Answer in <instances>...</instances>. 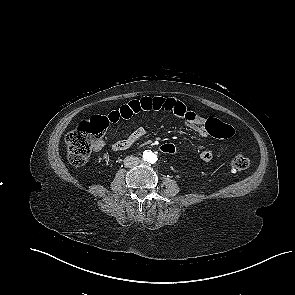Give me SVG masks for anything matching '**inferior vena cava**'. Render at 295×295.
Segmentation results:
<instances>
[{"mask_svg": "<svg viewBox=\"0 0 295 295\" xmlns=\"http://www.w3.org/2000/svg\"><path fill=\"white\" fill-rule=\"evenodd\" d=\"M140 163V159L138 157L135 156H128L125 158L124 160V165L127 168H132L137 166Z\"/></svg>", "mask_w": 295, "mask_h": 295, "instance_id": "inferior-vena-cava-1", "label": "inferior vena cava"}]
</instances>
